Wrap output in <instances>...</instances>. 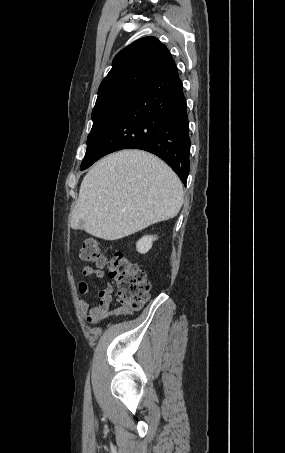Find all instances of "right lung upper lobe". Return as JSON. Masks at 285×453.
<instances>
[{"label": "right lung upper lobe", "mask_w": 285, "mask_h": 453, "mask_svg": "<svg viewBox=\"0 0 285 453\" xmlns=\"http://www.w3.org/2000/svg\"><path fill=\"white\" fill-rule=\"evenodd\" d=\"M167 49L155 37L141 38L122 49L98 90L96 105L119 95L137 91L159 73L175 66Z\"/></svg>", "instance_id": "1"}]
</instances>
